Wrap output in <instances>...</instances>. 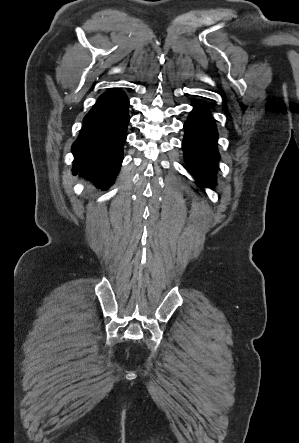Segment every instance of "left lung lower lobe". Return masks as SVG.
Here are the masks:
<instances>
[{"mask_svg": "<svg viewBox=\"0 0 299 443\" xmlns=\"http://www.w3.org/2000/svg\"><path fill=\"white\" fill-rule=\"evenodd\" d=\"M182 143L184 158L202 186L215 185L217 129L210 112L204 107H195L184 125Z\"/></svg>", "mask_w": 299, "mask_h": 443, "instance_id": "1", "label": "left lung lower lobe"}]
</instances>
